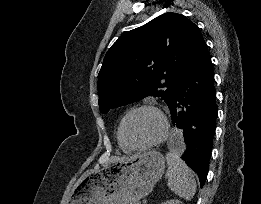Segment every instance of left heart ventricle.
I'll use <instances>...</instances> for the list:
<instances>
[{
  "label": "left heart ventricle",
  "mask_w": 261,
  "mask_h": 204,
  "mask_svg": "<svg viewBox=\"0 0 261 204\" xmlns=\"http://www.w3.org/2000/svg\"><path fill=\"white\" fill-rule=\"evenodd\" d=\"M160 128V121L154 113L141 111L126 120L123 137L129 145L139 146L155 139Z\"/></svg>",
  "instance_id": "b2bd125f"
}]
</instances>
